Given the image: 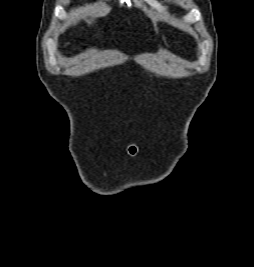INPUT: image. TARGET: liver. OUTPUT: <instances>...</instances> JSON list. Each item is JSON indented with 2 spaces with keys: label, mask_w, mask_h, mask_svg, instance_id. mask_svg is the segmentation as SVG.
<instances>
[{
  "label": "liver",
  "mask_w": 254,
  "mask_h": 267,
  "mask_svg": "<svg viewBox=\"0 0 254 267\" xmlns=\"http://www.w3.org/2000/svg\"><path fill=\"white\" fill-rule=\"evenodd\" d=\"M102 6L105 7L104 4H103ZM83 9H84V10H87V11H90L91 14H95V12H96V10H97V6L86 5ZM73 12H74V10H71V13H73ZM87 23H88V24H91V21L88 20Z\"/></svg>",
  "instance_id": "liver-1"
}]
</instances>
